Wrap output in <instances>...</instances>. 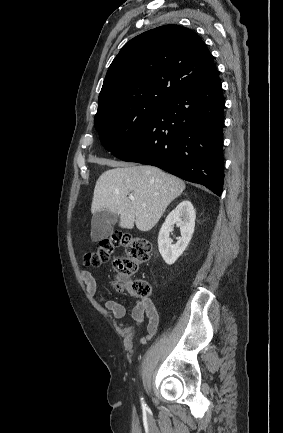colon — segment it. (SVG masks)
I'll return each instance as SVG.
<instances>
[{
	"mask_svg": "<svg viewBox=\"0 0 283 433\" xmlns=\"http://www.w3.org/2000/svg\"><path fill=\"white\" fill-rule=\"evenodd\" d=\"M123 247L125 255L117 257L113 261V269L117 273L116 287L124 288L123 280L135 274L139 267L151 257V243L140 237L116 231L107 238L100 240L93 251L84 255L87 266L99 267L108 263L115 248ZM131 292L140 298H147L151 293L148 281L137 279L130 285Z\"/></svg>",
	"mask_w": 283,
	"mask_h": 433,
	"instance_id": "obj_1",
	"label": "colon"
}]
</instances>
